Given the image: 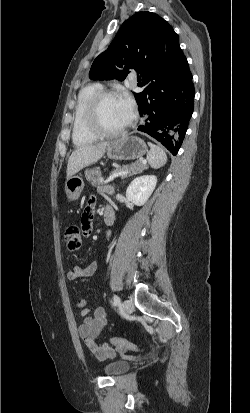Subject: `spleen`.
Listing matches in <instances>:
<instances>
[{
    "mask_svg": "<svg viewBox=\"0 0 250 413\" xmlns=\"http://www.w3.org/2000/svg\"><path fill=\"white\" fill-rule=\"evenodd\" d=\"M150 151L147 154V160L150 166L154 169H158L164 166L167 162V155L164 150L152 143H149Z\"/></svg>",
    "mask_w": 250,
    "mask_h": 413,
    "instance_id": "3e777b00",
    "label": "spleen"
}]
</instances>
